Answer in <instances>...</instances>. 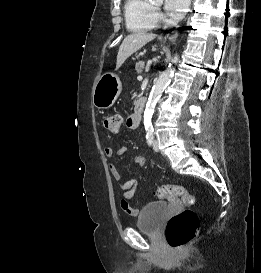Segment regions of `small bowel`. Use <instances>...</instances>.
Instances as JSON below:
<instances>
[{
    "instance_id": "small-bowel-1",
    "label": "small bowel",
    "mask_w": 261,
    "mask_h": 273,
    "mask_svg": "<svg viewBox=\"0 0 261 273\" xmlns=\"http://www.w3.org/2000/svg\"><path fill=\"white\" fill-rule=\"evenodd\" d=\"M134 117L133 114L128 115L125 119V125L129 129H134L136 127L133 126ZM127 148L125 146H120L118 149H114L111 146H107L104 149V153L107 157L113 156H121L126 152ZM133 162L135 165L139 167H143L145 165V158L142 155H136L133 158ZM110 170L113 178L118 183V190L123 194V198L121 199L120 205L124 212L129 215L136 216L138 214V210L131 207L129 201L133 197L136 188L138 187L139 180L130 179L128 181L123 182L121 174L115 164H110Z\"/></svg>"
}]
</instances>
